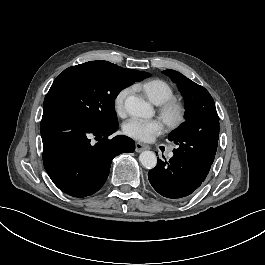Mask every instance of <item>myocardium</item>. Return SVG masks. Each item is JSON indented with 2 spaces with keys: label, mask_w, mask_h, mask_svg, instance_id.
<instances>
[{
  "label": "myocardium",
  "mask_w": 265,
  "mask_h": 265,
  "mask_svg": "<svg viewBox=\"0 0 265 265\" xmlns=\"http://www.w3.org/2000/svg\"><path fill=\"white\" fill-rule=\"evenodd\" d=\"M159 115L170 130H177L187 120V107L181 100L172 97L160 104Z\"/></svg>",
  "instance_id": "myocardium-1"
}]
</instances>
